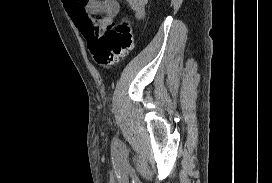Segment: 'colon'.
<instances>
[{
    "label": "colon",
    "instance_id": "obj_1",
    "mask_svg": "<svg viewBox=\"0 0 272 183\" xmlns=\"http://www.w3.org/2000/svg\"><path fill=\"white\" fill-rule=\"evenodd\" d=\"M89 42V51L94 61L99 66L109 69L132 49L133 33L126 19H123Z\"/></svg>",
    "mask_w": 272,
    "mask_h": 183
}]
</instances>
